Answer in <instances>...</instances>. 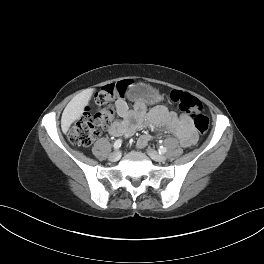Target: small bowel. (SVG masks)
Returning <instances> with one entry per match:
<instances>
[{
	"label": "small bowel",
	"mask_w": 264,
	"mask_h": 264,
	"mask_svg": "<svg viewBox=\"0 0 264 264\" xmlns=\"http://www.w3.org/2000/svg\"><path fill=\"white\" fill-rule=\"evenodd\" d=\"M115 107L119 119L109 127L112 135L130 136L136 130L149 126L168 129L175 134L183 147H191L197 141L198 136L191 118L186 114L177 115L164 106H156L147 113L146 105L140 101L130 109L124 99H117ZM150 140V134H143L139 137L137 146L143 148Z\"/></svg>",
	"instance_id": "1"
}]
</instances>
